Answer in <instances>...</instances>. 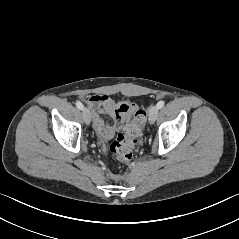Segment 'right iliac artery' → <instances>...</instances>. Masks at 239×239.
<instances>
[{
  "label": "right iliac artery",
  "instance_id": "obj_1",
  "mask_svg": "<svg viewBox=\"0 0 239 239\" xmlns=\"http://www.w3.org/2000/svg\"><path fill=\"white\" fill-rule=\"evenodd\" d=\"M76 106L78 109L82 110L84 108L83 104L80 101L76 102Z\"/></svg>",
  "mask_w": 239,
  "mask_h": 239
}]
</instances>
